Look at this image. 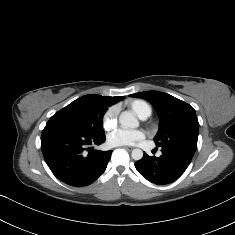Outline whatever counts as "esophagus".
I'll use <instances>...</instances> for the list:
<instances>
[{
    "label": "esophagus",
    "mask_w": 235,
    "mask_h": 235,
    "mask_svg": "<svg viewBox=\"0 0 235 235\" xmlns=\"http://www.w3.org/2000/svg\"><path fill=\"white\" fill-rule=\"evenodd\" d=\"M122 148L128 150V151H131L133 150V147L132 146H122Z\"/></svg>",
    "instance_id": "esophagus-1"
}]
</instances>
